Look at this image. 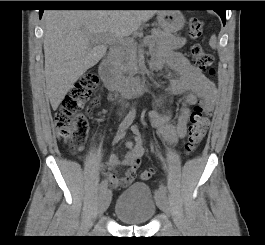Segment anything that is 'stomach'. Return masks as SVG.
<instances>
[{
    "label": "stomach",
    "mask_w": 265,
    "mask_h": 245,
    "mask_svg": "<svg viewBox=\"0 0 265 245\" xmlns=\"http://www.w3.org/2000/svg\"><path fill=\"white\" fill-rule=\"evenodd\" d=\"M159 27L166 33H175L185 24L183 14L178 10L160 11L157 14Z\"/></svg>",
    "instance_id": "1"
}]
</instances>
